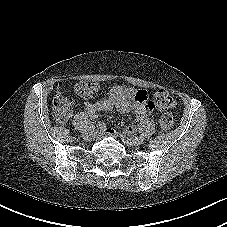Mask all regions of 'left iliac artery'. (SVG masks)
Wrapping results in <instances>:
<instances>
[{"label": "left iliac artery", "mask_w": 227, "mask_h": 227, "mask_svg": "<svg viewBox=\"0 0 227 227\" xmlns=\"http://www.w3.org/2000/svg\"><path fill=\"white\" fill-rule=\"evenodd\" d=\"M139 140H140V141L145 140L144 135H140Z\"/></svg>", "instance_id": "1"}]
</instances>
